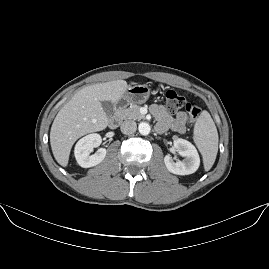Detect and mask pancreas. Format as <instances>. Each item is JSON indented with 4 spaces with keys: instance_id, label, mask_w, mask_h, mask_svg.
I'll list each match as a JSON object with an SVG mask.
<instances>
[{
    "instance_id": "obj_1",
    "label": "pancreas",
    "mask_w": 269,
    "mask_h": 269,
    "mask_svg": "<svg viewBox=\"0 0 269 269\" xmlns=\"http://www.w3.org/2000/svg\"><path fill=\"white\" fill-rule=\"evenodd\" d=\"M116 115L118 116L120 120H125V119L140 120L144 116L140 113V106L138 105H131L128 108H122L116 112Z\"/></svg>"
}]
</instances>
